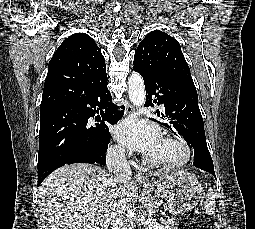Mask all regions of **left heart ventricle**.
<instances>
[{
	"label": "left heart ventricle",
	"instance_id": "left-heart-ventricle-1",
	"mask_svg": "<svg viewBox=\"0 0 255 229\" xmlns=\"http://www.w3.org/2000/svg\"><path fill=\"white\" fill-rule=\"evenodd\" d=\"M150 156L158 159L176 160L180 158L181 152L176 146L162 139Z\"/></svg>",
	"mask_w": 255,
	"mask_h": 229
}]
</instances>
